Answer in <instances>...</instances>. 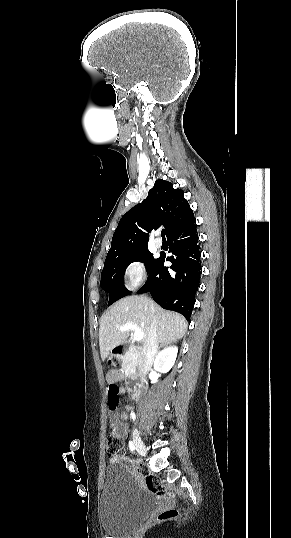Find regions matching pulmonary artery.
Here are the masks:
<instances>
[{
    "label": "pulmonary artery",
    "mask_w": 291,
    "mask_h": 538,
    "mask_svg": "<svg viewBox=\"0 0 291 538\" xmlns=\"http://www.w3.org/2000/svg\"><path fill=\"white\" fill-rule=\"evenodd\" d=\"M154 244H155V246H156L157 248H160V247L162 246V241H161L160 239H156V240L154 241Z\"/></svg>",
    "instance_id": "e3ab8cb5"
}]
</instances>
